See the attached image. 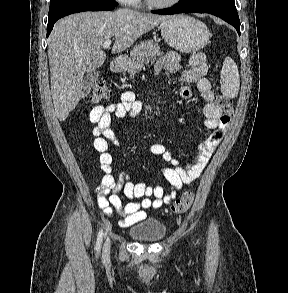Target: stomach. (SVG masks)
<instances>
[{
	"mask_svg": "<svg viewBox=\"0 0 288 293\" xmlns=\"http://www.w3.org/2000/svg\"><path fill=\"white\" fill-rule=\"evenodd\" d=\"M160 28L166 43L183 53L203 49L210 38L209 29L203 22L186 15L170 16Z\"/></svg>",
	"mask_w": 288,
	"mask_h": 293,
	"instance_id": "1",
	"label": "stomach"
}]
</instances>
